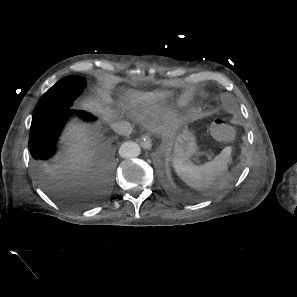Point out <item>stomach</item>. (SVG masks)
Wrapping results in <instances>:
<instances>
[{
	"instance_id": "obj_1",
	"label": "stomach",
	"mask_w": 297,
	"mask_h": 297,
	"mask_svg": "<svg viewBox=\"0 0 297 297\" xmlns=\"http://www.w3.org/2000/svg\"><path fill=\"white\" fill-rule=\"evenodd\" d=\"M172 144L174 147V160L179 159L187 162L198 151L195 135L187 128L174 137Z\"/></svg>"
}]
</instances>
